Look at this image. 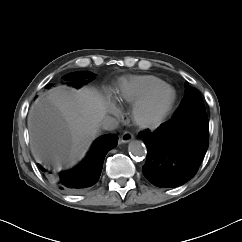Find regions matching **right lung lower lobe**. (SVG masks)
Here are the masks:
<instances>
[{
	"label": "right lung lower lobe",
	"mask_w": 242,
	"mask_h": 242,
	"mask_svg": "<svg viewBox=\"0 0 242 242\" xmlns=\"http://www.w3.org/2000/svg\"><path fill=\"white\" fill-rule=\"evenodd\" d=\"M117 140L118 136L115 134L99 137L81 163L67 171L54 173L39 164L38 166L59 189L72 193L80 192L99 179L104 158L108 151L117 145Z\"/></svg>",
	"instance_id": "98d812e1"
}]
</instances>
